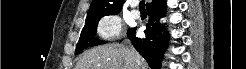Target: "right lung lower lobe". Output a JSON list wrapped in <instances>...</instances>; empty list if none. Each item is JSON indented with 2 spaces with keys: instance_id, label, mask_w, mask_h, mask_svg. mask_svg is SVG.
<instances>
[{
  "instance_id": "1",
  "label": "right lung lower lobe",
  "mask_w": 246,
  "mask_h": 69,
  "mask_svg": "<svg viewBox=\"0 0 246 69\" xmlns=\"http://www.w3.org/2000/svg\"><path fill=\"white\" fill-rule=\"evenodd\" d=\"M147 7L149 22L145 30L146 37L143 39L135 36V29H129L128 38L136 50L146 59L152 69H159L162 54L167 45V34L161 35V16L166 11V0H154Z\"/></svg>"
}]
</instances>
